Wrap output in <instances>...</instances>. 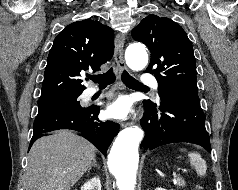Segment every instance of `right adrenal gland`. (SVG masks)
Instances as JSON below:
<instances>
[{"label": "right adrenal gland", "mask_w": 238, "mask_h": 190, "mask_svg": "<svg viewBox=\"0 0 238 190\" xmlns=\"http://www.w3.org/2000/svg\"><path fill=\"white\" fill-rule=\"evenodd\" d=\"M92 167L100 168V166L97 165V163H96V158L93 159V162H92L91 165L89 166L88 172H90V170L92 169Z\"/></svg>", "instance_id": "right-adrenal-gland-1"}]
</instances>
